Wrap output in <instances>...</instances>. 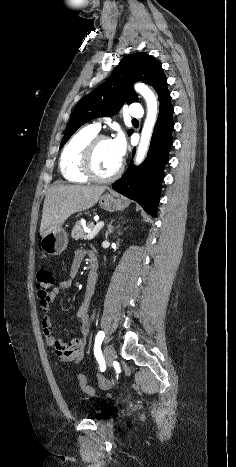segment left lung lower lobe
Instances as JSON below:
<instances>
[{
    "label": "left lung lower lobe",
    "mask_w": 236,
    "mask_h": 467,
    "mask_svg": "<svg viewBox=\"0 0 236 467\" xmlns=\"http://www.w3.org/2000/svg\"><path fill=\"white\" fill-rule=\"evenodd\" d=\"M160 111L145 161L138 167L131 163L123 176L112 184V188L138 202L143 209L156 217L160 199V187L164 177V166L168 161L174 127L173 107L170 94L165 89L159 96ZM135 149L133 150L134 155Z\"/></svg>",
    "instance_id": "1"
}]
</instances>
